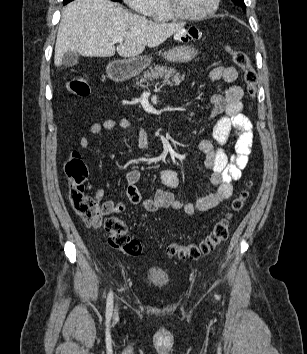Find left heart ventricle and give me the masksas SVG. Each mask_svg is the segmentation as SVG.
I'll return each mask as SVG.
<instances>
[{
    "label": "left heart ventricle",
    "mask_w": 307,
    "mask_h": 354,
    "mask_svg": "<svg viewBox=\"0 0 307 354\" xmlns=\"http://www.w3.org/2000/svg\"><path fill=\"white\" fill-rule=\"evenodd\" d=\"M213 0H179L181 9L188 14H200L212 5Z\"/></svg>",
    "instance_id": "left-heart-ventricle-1"
}]
</instances>
